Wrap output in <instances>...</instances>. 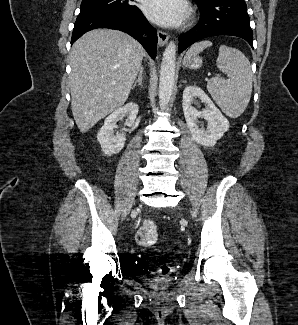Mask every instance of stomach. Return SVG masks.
I'll return each mask as SVG.
<instances>
[{
    "label": "stomach",
    "mask_w": 298,
    "mask_h": 325,
    "mask_svg": "<svg viewBox=\"0 0 298 325\" xmlns=\"http://www.w3.org/2000/svg\"><path fill=\"white\" fill-rule=\"evenodd\" d=\"M182 64L184 68H193V70H197V68L203 66V58L202 56H191V58H184Z\"/></svg>",
    "instance_id": "0dacf381"
}]
</instances>
